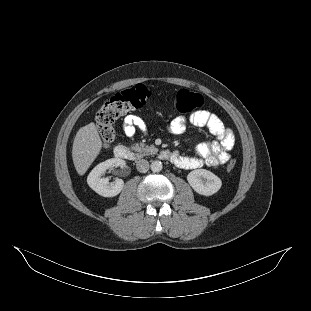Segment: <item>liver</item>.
Masks as SVG:
<instances>
[{"label":"liver","instance_id":"1","mask_svg":"<svg viewBox=\"0 0 311 311\" xmlns=\"http://www.w3.org/2000/svg\"><path fill=\"white\" fill-rule=\"evenodd\" d=\"M102 148L96 125L91 122L81 127L73 142L72 158L79 175H84Z\"/></svg>","mask_w":311,"mask_h":311}]
</instances>
